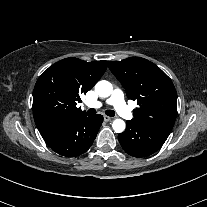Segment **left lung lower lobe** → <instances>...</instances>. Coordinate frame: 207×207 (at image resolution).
Returning <instances> with one entry per match:
<instances>
[{
  "mask_svg": "<svg viewBox=\"0 0 207 207\" xmlns=\"http://www.w3.org/2000/svg\"><path fill=\"white\" fill-rule=\"evenodd\" d=\"M169 134L127 121L126 130L118 135V139L127 154L133 157H146L155 153Z\"/></svg>",
  "mask_w": 207,
  "mask_h": 207,
  "instance_id": "0a47b994",
  "label": "left lung lower lobe"
}]
</instances>
